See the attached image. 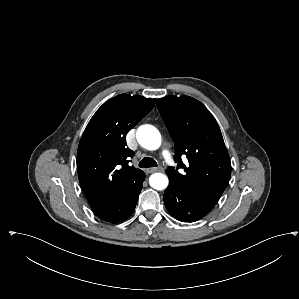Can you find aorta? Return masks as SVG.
<instances>
[{"instance_id": "obj_1", "label": "aorta", "mask_w": 299, "mask_h": 299, "mask_svg": "<svg viewBox=\"0 0 299 299\" xmlns=\"http://www.w3.org/2000/svg\"><path fill=\"white\" fill-rule=\"evenodd\" d=\"M138 143L145 149L156 150L161 145V135L152 125H142L137 129ZM150 186L156 190H163L168 186V178L162 173H154L149 178Z\"/></svg>"}]
</instances>
